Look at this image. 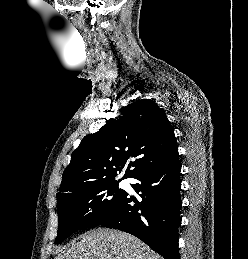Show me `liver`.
<instances>
[{
	"mask_svg": "<svg viewBox=\"0 0 248 259\" xmlns=\"http://www.w3.org/2000/svg\"><path fill=\"white\" fill-rule=\"evenodd\" d=\"M55 259H161L138 238L117 230L96 229L82 236Z\"/></svg>",
	"mask_w": 248,
	"mask_h": 259,
	"instance_id": "liver-1",
	"label": "liver"
}]
</instances>
